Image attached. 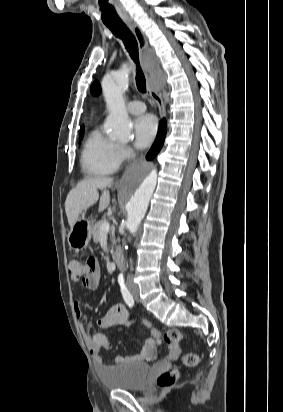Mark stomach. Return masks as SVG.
<instances>
[{
  "label": "stomach",
  "mask_w": 283,
  "mask_h": 412,
  "mask_svg": "<svg viewBox=\"0 0 283 412\" xmlns=\"http://www.w3.org/2000/svg\"><path fill=\"white\" fill-rule=\"evenodd\" d=\"M92 234V225L83 213L74 223L68 234V244L73 250H81L89 244Z\"/></svg>",
  "instance_id": "1"
}]
</instances>
